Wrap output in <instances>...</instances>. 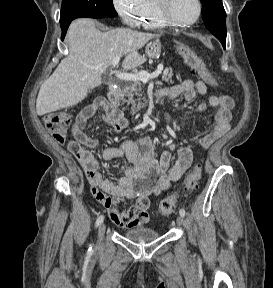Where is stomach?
I'll return each instance as SVG.
<instances>
[{
	"label": "stomach",
	"instance_id": "obj_1",
	"mask_svg": "<svg viewBox=\"0 0 273 288\" xmlns=\"http://www.w3.org/2000/svg\"><path fill=\"white\" fill-rule=\"evenodd\" d=\"M161 52V43L159 39L150 42L146 47V55L149 58H158Z\"/></svg>",
	"mask_w": 273,
	"mask_h": 288
}]
</instances>
